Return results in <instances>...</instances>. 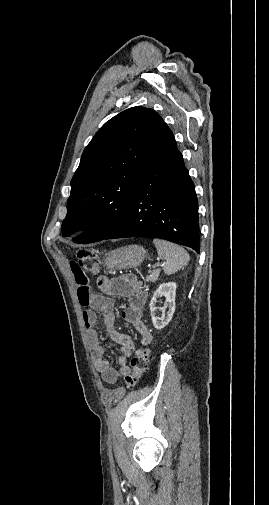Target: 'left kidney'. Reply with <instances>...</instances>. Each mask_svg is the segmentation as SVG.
<instances>
[{
    "label": "left kidney",
    "instance_id": "left-kidney-1",
    "mask_svg": "<svg viewBox=\"0 0 269 505\" xmlns=\"http://www.w3.org/2000/svg\"><path fill=\"white\" fill-rule=\"evenodd\" d=\"M177 285L175 282H167L160 284L157 290L154 292L153 297L150 301V311L153 325L156 329H163L171 321L173 314L175 312V297H176ZM164 296L166 298L165 308L167 311H163L164 315L158 318L156 315L157 307L156 303L160 297ZM166 314V316H165Z\"/></svg>",
    "mask_w": 269,
    "mask_h": 505
}]
</instances>
